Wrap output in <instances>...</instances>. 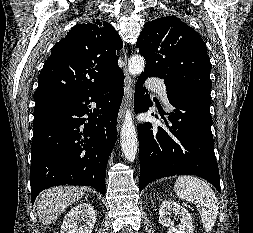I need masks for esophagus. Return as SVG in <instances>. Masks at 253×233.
I'll list each match as a JSON object with an SVG mask.
<instances>
[{"mask_svg": "<svg viewBox=\"0 0 253 233\" xmlns=\"http://www.w3.org/2000/svg\"><path fill=\"white\" fill-rule=\"evenodd\" d=\"M124 62H125V67H124V75H125V80H124V91H125V95H124V100L122 102V106L121 109L119 111V115H118V122H117V129L119 130L120 128V124L122 121V118L124 116V111L126 109V107L128 105H131L133 102V79L130 76L128 69H127V55H126V51L124 50Z\"/></svg>", "mask_w": 253, "mask_h": 233, "instance_id": "esophagus-1", "label": "esophagus"}]
</instances>
